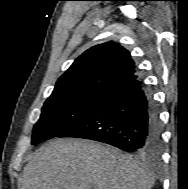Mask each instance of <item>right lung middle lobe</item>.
Instances as JSON below:
<instances>
[{"label": "right lung middle lobe", "instance_id": "1", "mask_svg": "<svg viewBox=\"0 0 188 189\" xmlns=\"http://www.w3.org/2000/svg\"><path fill=\"white\" fill-rule=\"evenodd\" d=\"M109 91L92 89L52 95L42 108L41 117L33 128L31 143L53 138L74 125Z\"/></svg>", "mask_w": 188, "mask_h": 189}]
</instances>
